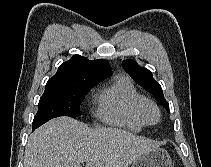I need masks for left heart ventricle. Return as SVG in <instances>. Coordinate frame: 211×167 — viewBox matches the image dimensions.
Listing matches in <instances>:
<instances>
[{
  "instance_id": "obj_1",
  "label": "left heart ventricle",
  "mask_w": 211,
  "mask_h": 167,
  "mask_svg": "<svg viewBox=\"0 0 211 167\" xmlns=\"http://www.w3.org/2000/svg\"><path fill=\"white\" fill-rule=\"evenodd\" d=\"M149 117H150L152 120H155V119H156V113H155L153 110H151V111L149 112Z\"/></svg>"
}]
</instances>
